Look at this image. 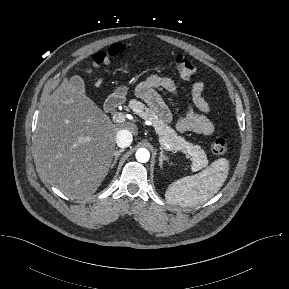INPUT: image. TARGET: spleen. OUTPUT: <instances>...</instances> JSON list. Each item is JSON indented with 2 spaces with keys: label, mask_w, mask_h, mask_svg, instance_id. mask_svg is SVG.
Segmentation results:
<instances>
[{
  "label": "spleen",
  "mask_w": 289,
  "mask_h": 289,
  "mask_svg": "<svg viewBox=\"0 0 289 289\" xmlns=\"http://www.w3.org/2000/svg\"><path fill=\"white\" fill-rule=\"evenodd\" d=\"M229 172V161L215 160L201 172L173 182L165 193L171 204L194 206L212 198L224 184Z\"/></svg>",
  "instance_id": "spleen-1"
}]
</instances>
